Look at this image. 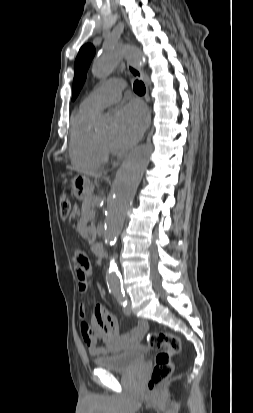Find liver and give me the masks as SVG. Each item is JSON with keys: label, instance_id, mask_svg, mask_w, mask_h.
<instances>
[{"label": "liver", "instance_id": "6515ba94", "mask_svg": "<svg viewBox=\"0 0 253 413\" xmlns=\"http://www.w3.org/2000/svg\"><path fill=\"white\" fill-rule=\"evenodd\" d=\"M69 169H72L71 167H68ZM93 177H95V178H99L100 177V175L99 174H91Z\"/></svg>", "mask_w": 253, "mask_h": 413}]
</instances>
